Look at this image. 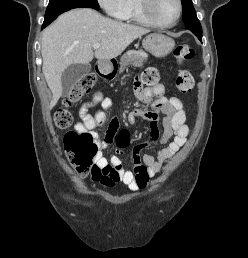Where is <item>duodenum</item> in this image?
<instances>
[{
  "label": "duodenum",
  "instance_id": "1",
  "mask_svg": "<svg viewBox=\"0 0 248 258\" xmlns=\"http://www.w3.org/2000/svg\"><path fill=\"white\" fill-rule=\"evenodd\" d=\"M97 72L102 77H110L111 76V73L109 71H105V70L101 69V64H98Z\"/></svg>",
  "mask_w": 248,
  "mask_h": 258
}]
</instances>
